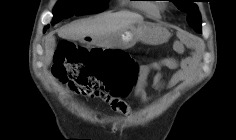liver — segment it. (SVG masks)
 Masks as SVG:
<instances>
[{"label":"liver","mask_w":236,"mask_h":140,"mask_svg":"<svg viewBox=\"0 0 236 140\" xmlns=\"http://www.w3.org/2000/svg\"><path fill=\"white\" fill-rule=\"evenodd\" d=\"M143 21L141 15L129 12L105 13L95 18L74 21L58 30V35L64 39L82 40L90 37L93 40L110 37L111 35L129 29ZM44 62L48 66L55 51V38L48 35L44 43Z\"/></svg>","instance_id":"1"}]
</instances>
